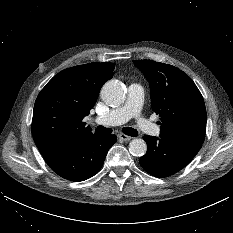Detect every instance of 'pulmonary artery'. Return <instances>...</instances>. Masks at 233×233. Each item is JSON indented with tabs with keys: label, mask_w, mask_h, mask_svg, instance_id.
Listing matches in <instances>:
<instances>
[{
	"label": "pulmonary artery",
	"mask_w": 233,
	"mask_h": 233,
	"mask_svg": "<svg viewBox=\"0 0 233 233\" xmlns=\"http://www.w3.org/2000/svg\"><path fill=\"white\" fill-rule=\"evenodd\" d=\"M145 91L139 84H131L128 88L126 101L123 105L110 110L107 113L98 115L96 121L105 125H119L131 118L136 119L137 127L144 133L151 136H158L160 129L149 120L140 117Z\"/></svg>",
	"instance_id": "e3ab8cb5"
}]
</instances>
